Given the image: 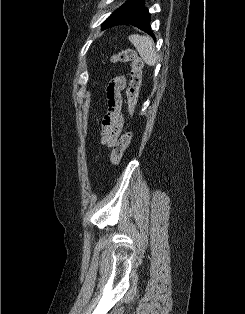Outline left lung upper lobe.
Here are the masks:
<instances>
[{
	"instance_id": "obj_1",
	"label": "left lung upper lobe",
	"mask_w": 245,
	"mask_h": 314,
	"mask_svg": "<svg viewBox=\"0 0 245 314\" xmlns=\"http://www.w3.org/2000/svg\"><path fill=\"white\" fill-rule=\"evenodd\" d=\"M143 8V0H128L115 10L102 24L103 29L128 24Z\"/></svg>"
}]
</instances>
